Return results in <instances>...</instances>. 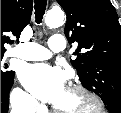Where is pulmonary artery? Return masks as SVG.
Segmentation results:
<instances>
[{
	"instance_id": "pulmonary-artery-1",
	"label": "pulmonary artery",
	"mask_w": 121,
	"mask_h": 113,
	"mask_svg": "<svg viewBox=\"0 0 121 113\" xmlns=\"http://www.w3.org/2000/svg\"><path fill=\"white\" fill-rule=\"evenodd\" d=\"M64 37L55 34L48 40V46H42L34 42L18 45L12 54L26 61H39L49 59L53 53H58L64 49Z\"/></svg>"
}]
</instances>
